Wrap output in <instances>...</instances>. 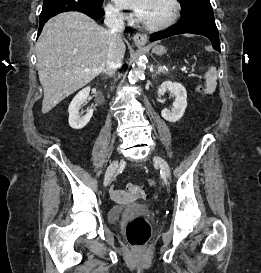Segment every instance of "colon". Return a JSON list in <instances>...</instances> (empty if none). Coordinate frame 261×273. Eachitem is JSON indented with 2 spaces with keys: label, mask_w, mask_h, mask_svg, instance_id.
<instances>
[{
  "label": "colon",
  "mask_w": 261,
  "mask_h": 273,
  "mask_svg": "<svg viewBox=\"0 0 261 273\" xmlns=\"http://www.w3.org/2000/svg\"><path fill=\"white\" fill-rule=\"evenodd\" d=\"M129 197L135 199H146L147 192L143 186L130 184L126 188ZM115 198L122 197V193L114 192ZM151 235V229L148 222L144 218H136L128 223L126 227V236L128 241L134 246H142L147 243Z\"/></svg>",
  "instance_id": "1"
}]
</instances>
